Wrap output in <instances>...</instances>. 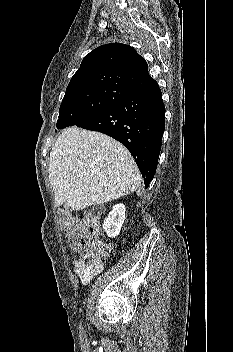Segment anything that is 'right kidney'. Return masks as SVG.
I'll list each match as a JSON object with an SVG mask.
<instances>
[{
  "label": "right kidney",
  "instance_id": "1",
  "mask_svg": "<svg viewBox=\"0 0 233 352\" xmlns=\"http://www.w3.org/2000/svg\"><path fill=\"white\" fill-rule=\"evenodd\" d=\"M125 212L126 208L124 204L120 203L113 206L112 211L103 223V229L108 237L114 238L119 235L126 217Z\"/></svg>",
  "mask_w": 233,
  "mask_h": 352
}]
</instances>
